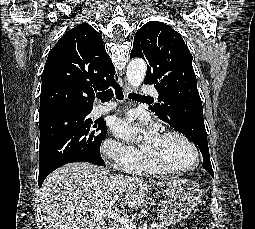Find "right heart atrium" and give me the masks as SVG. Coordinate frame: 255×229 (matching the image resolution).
<instances>
[{"mask_svg": "<svg viewBox=\"0 0 255 229\" xmlns=\"http://www.w3.org/2000/svg\"><path fill=\"white\" fill-rule=\"evenodd\" d=\"M102 152L108 160L122 168L141 156L137 149L114 139H107L103 142Z\"/></svg>", "mask_w": 255, "mask_h": 229, "instance_id": "d8ad5b80", "label": "right heart atrium"}]
</instances>
